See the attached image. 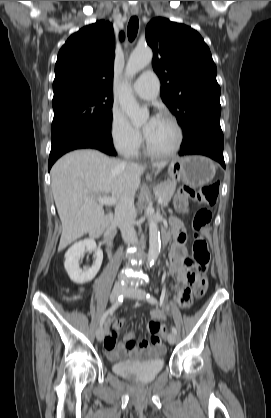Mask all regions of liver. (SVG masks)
I'll return each mask as SVG.
<instances>
[{
  "instance_id": "1",
  "label": "liver",
  "mask_w": 271,
  "mask_h": 418,
  "mask_svg": "<svg viewBox=\"0 0 271 418\" xmlns=\"http://www.w3.org/2000/svg\"><path fill=\"white\" fill-rule=\"evenodd\" d=\"M167 161L156 162L162 169ZM146 166L109 158L97 150H76L60 158L51 169V188L62 223L61 251L104 221L105 212L96 197L135 195Z\"/></svg>"
}]
</instances>
